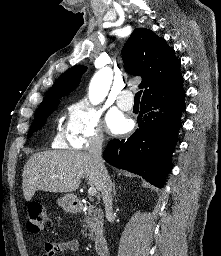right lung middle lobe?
Listing matches in <instances>:
<instances>
[{"instance_id": "1", "label": "right lung middle lobe", "mask_w": 221, "mask_h": 256, "mask_svg": "<svg viewBox=\"0 0 221 256\" xmlns=\"http://www.w3.org/2000/svg\"><path fill=\"white\" fill-rule=\"evenodd\" d=\"M59 102L60 97H55L40 104L39 108L36 111L34 123L32 128L30 129L28 137H30L33 132L43 127L47 120V117L57 108Z\"/></svg>"}]
</instances>
